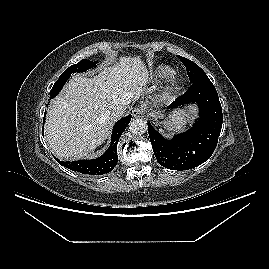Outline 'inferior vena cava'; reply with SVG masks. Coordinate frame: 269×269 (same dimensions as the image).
<instances>
[{"instance_id":"1","label":"inferior vena cava","mask_w":269,"mask_h":269,"mask_svg":"<svg viewBox=\"0 0 269 269\" xmlns=\"http://www.w3.org/2000/svg\"><path fill=\"white\" fill-rule=\"evenodd\" d=\"M126 111V107L123 105H117L114 106L110 111H109V119L112 121L117 120L119 117H121Z\"/></svg>"}]
</instances>
